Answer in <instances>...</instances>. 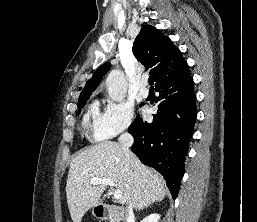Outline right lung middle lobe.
Listing matches in <instances>:
<instances>
[{
    "instance_id": "right-lung-middle-lobe-1",
    "label": "right lung middle lobe",
    "mask_w": 257,
    "mask_h": 222,
    "mask_svg": "<svg viewBox=\"0 0 257 222\" xmlns=\"http://www.w3.org/2000/svg\"><path fill=\"white\" fill-rule=\"evenodd\" d=\"M87 99L88 98H86L84 101H82L80 104H78V111H79V113H80V110L85 106Z\"/></svg>"
}]
</instances>
